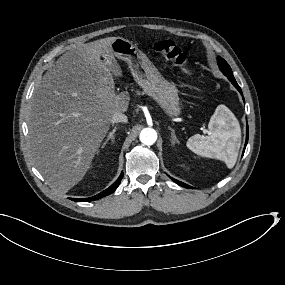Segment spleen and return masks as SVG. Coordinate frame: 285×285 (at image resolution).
Segmentation results:
<instances>
[{"label":"spleen","instance_id":"1","mask_svg":"<svg viewBox=\"0 0 285 285\" xmlns=\"http://www.w3.org/2000/svg\"><path fill=\"white\" fill-rule=\"evenodd\" d=\"M225 125L227 130H220V125ZM230 123L222 114L215 112L208 123L210 135L204 137L200 134L191 136L186 142L187 149L196 155L205 158L220 160L231 169L236 161L239 146V130L231 131Z\"/></svg>","mask_w":285,"mask_h":285}]
</instances>
